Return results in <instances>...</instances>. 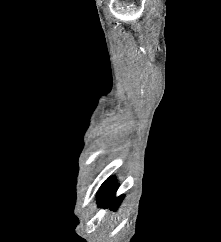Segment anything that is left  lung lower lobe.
Returning <instances> with one entry per match:
<instances>
[{
	"label": "left lung lower lobe",
	"instance_id": "1",
	"mask_svg": "<svg viewBox=\"0 0 221 242\" xmlns=\"http://www.w3.org/2000/svg\"><path fill=\"white\" fill-rule=\"evenodd\" d=\"M117 188L118 184L115 183L113 177L103 183L100 192L97 195L99 199L98 205L100 207H109L110 209L116 210L117 206L123 199V196L115 198Z\"/></svg>",
	"mask_w": 221,
	"mask_h": 242
}]
</instances>
